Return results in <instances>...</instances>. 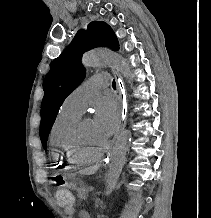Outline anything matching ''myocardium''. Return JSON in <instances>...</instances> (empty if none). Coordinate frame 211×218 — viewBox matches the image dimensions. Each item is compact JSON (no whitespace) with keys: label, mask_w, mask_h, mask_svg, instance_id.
<instances>
[{"label":"myocardium","mask_w":211,"mask_h":218,"mask_svg":"<svg viewBox=\"0 0 211 218\" xmlns=\"http://www.w3.org/2000/svg\"><path fill=\"white\" fill-rule=\"evenodd\" d=\"M86 119H80L75 125L72 134H71V147L73 153L83 159H99L104 154H106L110 147L111 142L108 143L101 149L93 150L89 147L84 146L82 141V126Z\"/></svg>","instance_id":"f54148a6"}]
</instances>
